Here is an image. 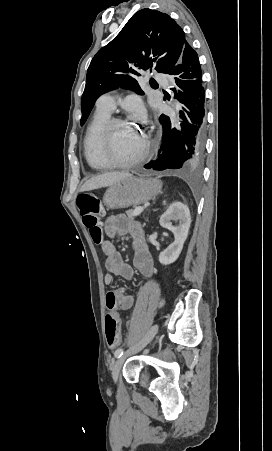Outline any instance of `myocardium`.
I'll use <instances>...</instances> for the list:
<instances>
[{
	"label": "myocardium",
	"instance_id": "obj_1",
	"mask_svg": "<svg viewBox=\"0 0 272 451\" xmlns=\"http://www.w3.org/2000/svg\"><path fill=\"white\" fill-rule=\"evenodd\" d=\"M128 120L126 118L121 117H110L103 125L99 136H98V142L101 145V151L102 156L104 159V162L106 166L109 165L111 160L113 159V156L115 155V150L113 146V135L112 130L113 127L118 123H126ZM145 149V144H137L133 147V149L130 152V155L123 160H120V162H133L137 158L140 157V155L143 153ZM118 166H121L118 165Z\"/></svg>",
	"mask_w": 272,
	"mask_h": 451
}]
</instances>
